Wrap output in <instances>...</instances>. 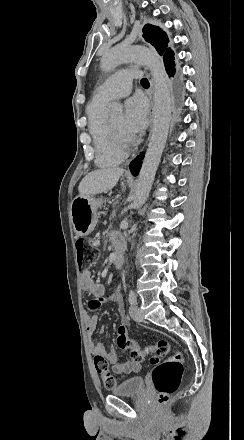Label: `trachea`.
Segmentation results:
<instances>
[{
    "mask_svg": "<svg viewBox=\"0 0 244 440\" xmlns=\"http://www.w3.org/2000/svg\"><path fill=\"white\" fill-rule=\"evenodd\" d=\"M141 85H142V86H147V85H149V81L147 80V78H142V80H141Z\"/></svg>",
    "mask_w": 244,
    "mask_h": 440,
    "instance_id": "obj_1",
    "label": "trachea"
}]
</instances>
